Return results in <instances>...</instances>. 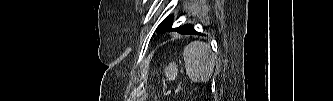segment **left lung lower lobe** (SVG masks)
<instances>
[{
	"instance_id": "obj_1",
	"label": "left lung lower lobe",
	"mask_w": 333,
	"mask_h": 101,
	"mask_svg": "<svg viewBox=\"0 0 333 101\" xmlns=\"http://www.w3.org/2000/svg\"><path fill=\"white\" fill-rule=\"evenodd\" d=\"M173 31H177L180 34H197V32L194 30L193 26L190 24L174 28Z\"/></svg>"
}]
</instances>
